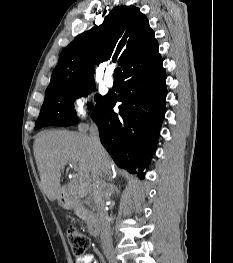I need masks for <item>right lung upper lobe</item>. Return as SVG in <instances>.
Instances as JSON below:
<instances>
[{
    "label": "right lung upper lobe",
    "mask_w": 233,
    "mask_h": 263,
    "mask_svg": "<svg viewBox=\"0 0 233 263\" xmlns=\"http://www.w3.org/2000/svg\"><path fill=\"white\" fill-rule=\"evenodd\" d=\"M119 61L123 76L162 61L147 17L135 6L115 7L100 26L79 35L60 54L45 97L93 84L94 63Z\"/></svg>",
    "instance_id": "right-lung-upper-lobe-1"
}]
</instances>
